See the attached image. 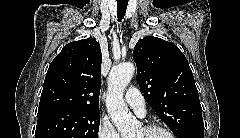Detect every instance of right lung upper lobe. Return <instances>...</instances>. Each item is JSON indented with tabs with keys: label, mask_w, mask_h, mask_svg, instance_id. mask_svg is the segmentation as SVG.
Wrapping results in <instances>:
<instances>
[{
	"label": "right lung upper lobe",
	"mask_w": 240,
	"mask_h": 138,
	"mask_svg": "<svg viewBox=\"0 0 240 138\" xmlns=\"http://www.w3.org/2000/svg\"><path fill=\"white\" fill-rule=\"evenodd\" d=\"M101 63L100 45L93 38L64 46L48 68L38 115L56 110L99 111Z\"/></svg>",
	"instance_id": "1"
}]
</instances>
